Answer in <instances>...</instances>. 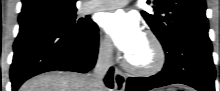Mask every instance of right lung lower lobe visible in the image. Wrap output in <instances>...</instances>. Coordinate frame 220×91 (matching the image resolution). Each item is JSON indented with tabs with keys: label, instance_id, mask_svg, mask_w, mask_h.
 Returning a JSON list of instances; mask_svg holds the SVG:
<instances>
[{
	"label": "right lung lower lobe",
	"instance_id": "98d812e1",
	"mask_svg": "<svg viewBox=\"0 0 220 91\" xmlns=\"http://www.w3.org/2000/svg\"><path fill=\"white\" fill-rule=\"evenodd\" d=\"M98 43L95 23L82 33H73L45 21L20 24L10 69L12 91L40 73L53 70L88 72L96 63ZM104 81L109 88H113V68H110Z\"/></svg>",
	"mask_w": 220,
	"mask_h": 91
}]
</instances>
